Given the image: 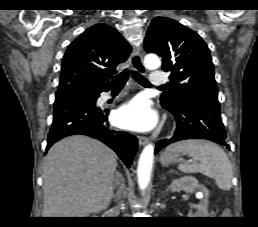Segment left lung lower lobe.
Segmentation results:
<instances>
[{
  "label": "left lung lower lobe",
  "mask_w": 258,
  "mask_h": 227,
  "mask_svg": "<svg viewBox=\"0 0 258 227\" xmlns=\"http://www.w3.org/2000/svg\"><path fill=\"white\" fill-rule=\"evenodd\" d=\"M162 106L175 116L178 126L172 138L157 143L156 153L171 143L194 138L207 139L229 149L218 98L197 96L177 107Z\"/></svg>",
  "instance_id": "left-lung-lower-lobe-1"
}]
</instances>
